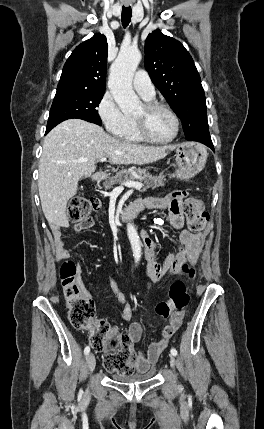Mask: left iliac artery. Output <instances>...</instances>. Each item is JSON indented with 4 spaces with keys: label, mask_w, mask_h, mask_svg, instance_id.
I'll use <instances>...</instances> for the list:
<instances>
[{
    "label": "left iliac artery",
    "mask_w": 264,
    "mask_h": 429,
    "mask_svg": "<svg viewBox=\"0 0 264 429\" xmlns=\"http://www.w3.org/2000/svg\"><path fill=\"white\" fill-rule=\"evenodd\" d=\"M171 354H172L173 356H176V355H177V350H176L175 348H172V349H171Z\"/></svg>",
    "instance_id": "44dca946"
}]
</instances>
